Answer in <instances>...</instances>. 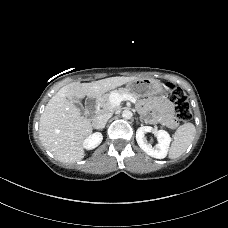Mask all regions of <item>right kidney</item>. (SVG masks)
<instances>
[{
    "label": "right kidney",
    "mask_w": 228,
    "mask_h": 228,
    "mask_svg": "<svg viewBox=\"0 0 228 228\" xmlns=\"http://www.w3.org/2000/svg\"><path fill=\"white\" fill-rule=\"evenodd\" d=\"M103 136L101 133H94L89 135L83 143V146L87 150H92L96 148L102 142Z\"/></svg>",
    "instance_id": "ca27d5eb"
}]
</instances>
